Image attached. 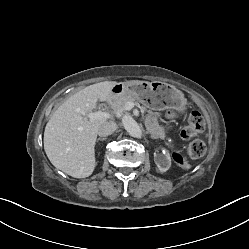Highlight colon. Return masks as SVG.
Returning <instances> with one entry per match:
<instances>
[{"instance_id":"obj_1","label":"colon","mask_w":249,"mask_h":249,"mask_svg":"<svg viewBox=\"0 0 249 249\" xmlns=\"http://www.w3.org/2000/svg\"><path fill=\"white\" fill-rule=\"evenodd\" d=\"M205 127V120L203 116L197 112L193 111L189 118L188 124L181 131V136L185 140H189L195 137L199 132H201ZM206 147L202 140H194L192 141L186 149V156L182 155L179 152H175L173 154V159L176 163L180 165L187 164V158L189 159H198L202 157L205 153Z\"/></svg>"}]
</instances>
